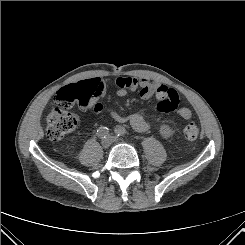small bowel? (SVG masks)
Wrapping results in <instances>:
<instances>
[{
    "mask_svg": "<svg viewBox=\"0 0 245 245\" xmlns=\"http://www.w3.org/2000/svg\"><path fill=\"white\" fill-rule=\"evenodd\" d=\"M96 82L98 86V95L85 107L84 110L100 113L103 110V104L98 100L105 94V83L101 78L89 79ZM116 94L120 97L125 96L130 91H137L144 100L156 96L159 100L155 107L158 112H175L183 119H190L192 112L187 107H179V98L177 92L166 85L157 81H152L145 77L124 76L116 79ZM111 117L121 123H129L132 128L138 132H146L150 128V123L145 116L140 113H133L127 116L119 114L116 110L108 108Z\"/></svg>",
    "mask_w": 245,
    "mask_h": 245,
    "instance_id": "obj_1",
    "label": "small bowel"
}]
</instances>
